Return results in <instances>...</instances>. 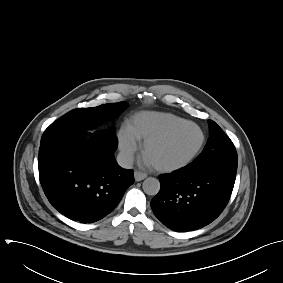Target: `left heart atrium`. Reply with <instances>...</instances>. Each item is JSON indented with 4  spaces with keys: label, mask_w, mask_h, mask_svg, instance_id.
I'll list each match as a JSON object with an SVG mask.
<instances>
[{
    "label": "left heart atrium",
    "mask_w": 283,
    "mask_h": 283,
    "mask_svg": "<svg viewBox=\"0 0 283 283\" xmlns=\"http://www.w3.org/2000/svg\"><path fill=\"white\" fill-rule=\"evenodd\" d=\"M145 162L147 163V164H150V162L145 158Z\"/></svg>",
    "instance_id": "1"
}]
</instances>
